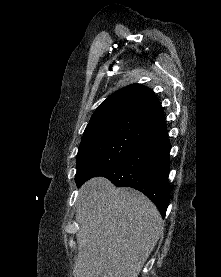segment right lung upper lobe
Listing matches in <instances>:
<instances>
[{"label":"right lung upper lobe","instance_id":"right-lung-upper-lobe-1","mask_svg":"<svg viewBox=\"0 0 221 277\" xmlns=\"http://www.w3.org/2000/svg\"><path fill=\"white\" fill-rule=\"evenodd\" d=\"M160 107L151 89L142 84H132L109 96L97 108L85 130L103 125L140 124L143 116Z\"/></svg>","mask_w":221,"mask_h":277}]
</instances>
